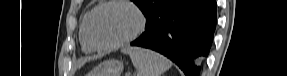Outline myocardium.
Masks as SVG:
<instances>
[{
  "mask_svg": "<svg viewBox=\"0 0 287 76\" xmlns=\"http://www.w3.org/2000/svg\"><path fill=\"white\" fill-rule=\"evenodd\" d=\"M113 4H121L129 7L137 16L138 23L136 28L127 36L123 37L122 39L113 42V43H100L96 41L91 33V21L93 15L101 8L113 5ZM146 26V17L142 10L132 1L130 0H108L101 2L97 6H95L87 15L85 19V32L86 36L89 40V42L96 48V49H101V50H110V49H116L119 48L133 40H135L145 29Z\"/></svg>",
  "mask_w": 287,
  "mask_h": 76,
  "instance_id": "f54148a6",
  "label": "myocardium"
}]
</instances>
